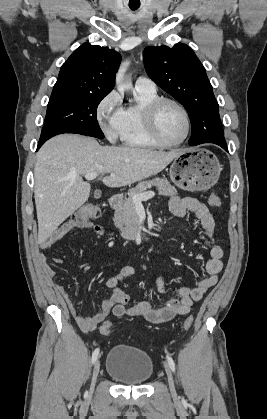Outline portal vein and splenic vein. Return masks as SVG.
<instances>
[{
  "mask_svg": "<svg viewBox=\"0 0 267 419\" xmlns=\"http://www.w3.org/2000/svg\"><path fill=\"white\" fill-rule=\"evenodd\" d=\"M84 176H85V179H87V180H93L98 176V174L97 173H89V174H85ZM111 176L114 177L115 173L112 172ZM154 196H155V193L153 191H148V192H145V193H142V194H137V195L133 196V202L136 204V206H141L142 201L148 200V199H150Z\"/></svg>",
  "mask_w": 267,
  "mask_h": 419,
  "instance_id": "1",
  "label": "portal vein and splenic vein"
}]
</instances>
